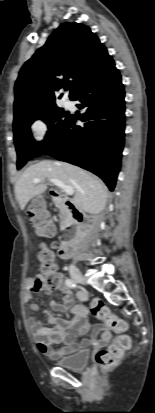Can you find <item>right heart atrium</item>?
<instances>
[{
    "mask_svg": "<svg viewBox=\"0 0 155 413\" xmlns=\"http://www.w3.org/2000/svg\"><path fill=\"white\" fill-rule=\"evenodd\" d=\"M31 136L35 142H42L49 131L48 121L44 117H35L29 124Z\"/></svg>",
    "mask_w": 155,
    "mask_h": 413,
    "instance_id": "obj_1",
    "label": "right heart atrium"
}]
</instances>
